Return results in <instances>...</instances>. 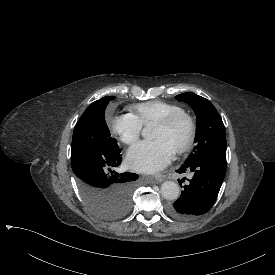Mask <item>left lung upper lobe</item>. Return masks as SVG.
Here are the masks:
<instances>
[{
	"instance_id": "obj_1",
	"label": "left lung upper lobe",
	"mask_w": 275,
	"mask_h": 275,
	"mask_svg": "<svg viewBox=\"0 0 275 275\" xmlns=\"http://www.w3.org/2000/svg\"><path fill=\"white\" fill-rule=\"evenodd\" d=\"M177 100L190 104L197 117V133L194 154L185 164L205 157L222 156L226 158L225 128L220 115L212 103L194 93L187 92L176 96Z\"/></svg>"
}]
</instances>
